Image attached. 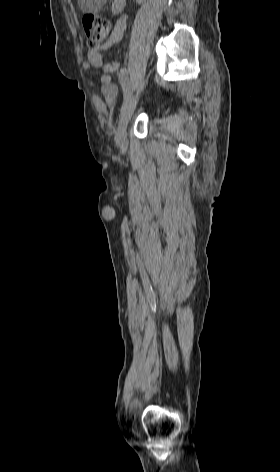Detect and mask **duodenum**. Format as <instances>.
Returning <instances> with one entry per match:
<instances>
[{"label": "duodenum", "mask_w": 280, "mask_h": 472, "mask_svg": "<svg viewBox=\"0 0 280 472\" xmlns=\"http://www.w3.org/2000/svg\"><path fill=\"white\" fill-rule=\"evenodd\" d=\"M125 5V0H115L113 5H112V11L113 13H119Z\"/></svg>", "instance_id": "1"}]
</instances>
